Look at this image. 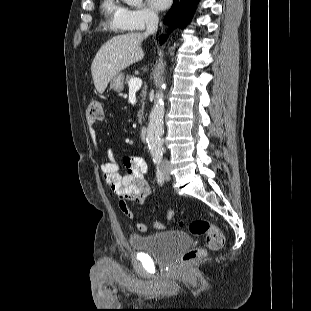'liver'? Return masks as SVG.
<instances>
[{"label":"liver","instance_id":"liver-1","mask_svg":"<svg viewBox=\"0 0 311 311\" xmlns=\"http://www.w3.org/2000/svg\"><path fill=\"white\" fill-rule=\"evenodd\" d=\"M142 33L118 35L107 41L97 52L91 73L96 90L102 94L108 83L122 70L143 59Z\"/></svg>","mask_w":311,"mask_h":311}]
</instances>
